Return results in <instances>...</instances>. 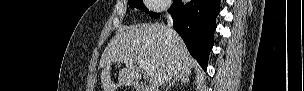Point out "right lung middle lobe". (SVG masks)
Instances as JSON below:
<instances>
[{
	"instance_id": "1",
	"label": "right lung middle lobe",
	"mask_w": 304,
	"mask_h": 91,
	"mask_svg": "<svg viewBox=\"0 0 304 91\" xmlns=\"http://www.w3.org/2000/svg\"><path fill=\"white\" fill-rule=\"evenodd\" d=\"M129 3V7L131 9L139 8L144 12H148L147 8L144 6L143 4V0H128ZM151 17L157 18L159 16V14L157 13H149Z\"/></svg>"
}]
</instances>
